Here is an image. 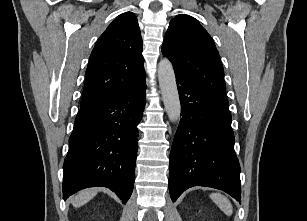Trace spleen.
<instances>
[{
  "label": "spleen",
  "mask_w": 307,
  "mask_h": 221,
  "mask_svg": "<svg viewBox=\"0 0 307 221\" xmlns=\"http://www.w3.org/2000/svg\"><path fill=\"white\" fill-rule=\"evenodd\" d=\"M210 198L227 216L232 215L233 213L232 204L225 196L219 193H212L210 194Z\"/></svg>",
  "instance_id": "obj_1"
}]
</instances>
